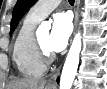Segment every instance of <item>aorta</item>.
I'll list each match as a JSON object with an SVG mask.
<instances>
[{
	"mask_svg": "<svg viewBox=\"0 0 107 89\" xmlns=\"http://www.w3.org/2000/svg\"><path fill=\"white\" fill-rule=\"evenodd\" d=\"M50 29H51L50 23L42 22L38 27L37 31L48 32ZM80 51H81V34L80 32H78L75 35L70 50L68 52L60 78L59 89H71L79 64Z\"/></svg>",
	"mask_w": 107,
	"mask_h": 89,
	"instance_id": "1",
	"label": "aorta"
}]
</instances>
